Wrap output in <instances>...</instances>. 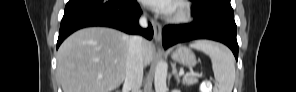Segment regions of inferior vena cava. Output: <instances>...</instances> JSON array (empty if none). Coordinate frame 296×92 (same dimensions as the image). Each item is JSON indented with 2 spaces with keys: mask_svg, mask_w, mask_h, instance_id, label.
<instances>
[{
  "mask_svg": "<svg viewBox=\"0 0 296 92\" xmlns=\"http://www.w3.org/2000/svg\"><path fill=\"white\" fill-rule=\"evenodd\" d=\"M142 27H147V19L142 16L139 19ZM143 38L140 35H132L129 40V51L126 60L125 84L132 92H140L143 80L144 59L142 52Z\"/></svg>",
  "mask_w": 296,
  "mask_h": 92,
  "instance_id": "1",
  "label": "inferior vena cava"
}]
</instances>
